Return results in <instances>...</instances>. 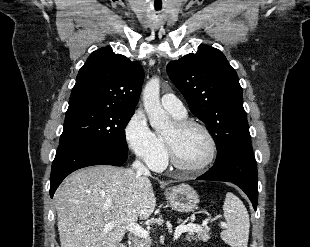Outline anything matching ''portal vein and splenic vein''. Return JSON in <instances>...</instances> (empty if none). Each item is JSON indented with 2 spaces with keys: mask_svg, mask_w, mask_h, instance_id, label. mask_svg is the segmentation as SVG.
I'll list each match as a JSON object with an SVG mask.
<instances>
[{
  "mask_svg": "<svg viewBox=\"0 0 310 247\" xmlns=\"http://www.w3.org/2000/svg\"><path fill=\"white\" fill-rule=\"evenodd\" d=\"M115 225V222H110L108 223L105 227H104V231H108L111 230ZM224 225V224H222ZM205 226V224L202 225H196V224H186V225H179L174 233V240H177L180 235L184 232H198L201 229H203V227ZM131 233L135 234L136 236L143 238V239H149V233L147 230H145L144 228H142L141 226H139L136 223H130L127 227H126Z\"/></svg>",
  "mask_w": 310,
  "mask_h": 247,
  "instance_id": "1",
  "label": "portal vein and splenic vein"
}]
</instances>
